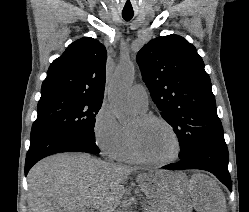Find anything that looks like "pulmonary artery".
<instances>
[{"label": "pulmonary artery", "instance_id": "e3ab8cb5", "mask_svg": "<svg viewBox=\"0 0 249 212\" xmlns=\"http://www.w3.org/2000/svg\"><path fill=\"white\" fill-rule=\"evenodd\" d=\"M131 102L140 112L148 109V94L146 88L142 84H135L130 92Z\"/></svg>", "mask_w": 249, "mask_h": 212}]
</instances>
